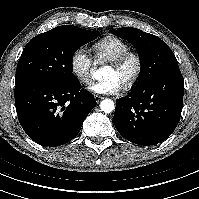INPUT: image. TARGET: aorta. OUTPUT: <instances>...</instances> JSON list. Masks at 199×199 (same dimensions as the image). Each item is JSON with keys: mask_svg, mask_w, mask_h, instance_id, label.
<instances>
[{"mask_svg": "<svg viewBox=\"0 0 199 199\" xmlns=\"http://www.w3.org/2000/svg\"><path fill=\"white\" fill-rule=\"evenodd\" d=\"M100 109L105 113H111L115 109L114 102L111 99H104L100 102Z\"/></svg>", "mask_w": 199, "mask_h": 199, "instance_id": "obj_1", "label": "aorta"}]
</instances>
